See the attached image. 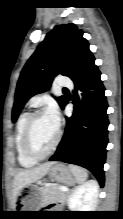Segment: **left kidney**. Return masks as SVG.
Returning <instances> with one entry per match:
<instances>
[{
    "label": "left kidney",
    "mask_w": 123,
    "mask_h": 219,
    "mask_svg": "<svg viewBox=\"0 0 123 219\" xmlns=\"http://www.w3.org/2000/svg\"><path fill=\"white\" fill-rule=\"evenodd\" d=\"M99 184L96 180L77 186L68 198V207L71 211H95L98 201Z\"/></svg>",
    "instance_id": "left-kidney-1"
}]
</instances>
